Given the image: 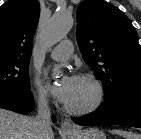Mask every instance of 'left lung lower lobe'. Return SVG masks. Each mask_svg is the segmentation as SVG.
<instances>
[{
	"instance_id": "0a47b994",
	"label": "left lung lower lobe",
	"mask_w": 141,
	"mask_h": 139,
	"mask_svg": "<svg viewBox=\"0 0 141 139\" xmlns=\"http://www.w3.org/2000/svg\"><path fill=\"white\" fill-rule=\"evenodd\" d=\"M72 120L82 126L116 124L141 128V89L123 92L105 101L95 112Z\"/></svg>"
}]
</instances>
